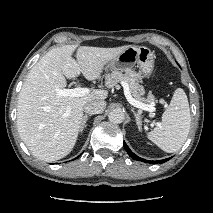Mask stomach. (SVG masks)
I'll use <instances>...</instances> for the list:
<instances>
[{
    "instance_id": "stomach-1",
    "label": "stomach",
    "mask_w": 213,
    "mask_h": 213,
    "mask_svg": "<svg viewBox=\"0 0 213 213\" xmlns=\"http://www.w3.org/2000/svg\"><path fill=\"white\" fill-rule=\"evenodd\" d=\"M137 67L140 73L149 78L154 69V54L145 46H129L121 54L105 65V69L128 70Z\"/></svg>"
}]
</instances>
